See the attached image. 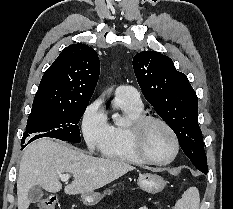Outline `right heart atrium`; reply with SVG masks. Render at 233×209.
I'll use <instances>...</instances> for the list:
<instances>
[{"label": "right heart atrium", "instance_id": "obj_1", "mask_svg": "<svg viewBox=\"0 0 233 209\" xmlns=\"http://www.w3.org/2000/svg\"><path fill=\"white\" fill-rule=\"evenodd\" d=\"M110 126L99 99L87 106L82 115L81 130L90 150H100L103 147L109 139Z\"/></svg>", "mask_w": 233, "mask_h": 209}]
</instances>
